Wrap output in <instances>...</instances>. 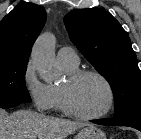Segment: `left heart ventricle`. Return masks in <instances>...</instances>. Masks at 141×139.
<instances>
[{
	"instance_id": "obj_1",
	"label": "left heart ventricle",
	"mask_w": 141,
	"mask_h": 139,
	"mask_svg": "<svg viewBox=\"0 0 141 139\" xmlns=\"http://www.w3.org/2000/svg\"><path fill=\"white\" fill-rule=\"evenodd\" d=\"M66 83V80L62 85ZM108 91L104 83L94 76H86L74 83L70 89L73 107L87 115L102 112L108 104Z\"/></svg>"
}]
</instances>
